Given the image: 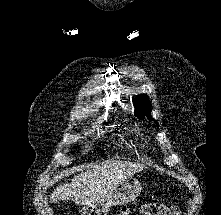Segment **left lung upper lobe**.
<instances>
[{"label":"left lung upper lobe","instance_id":"obj_1","mask_svg":"<svg viewBox=\"0 0 221 215\" xmlns=\"http://www.w3.org/2000/svg\"><path fill=\"white\" fill-rule=\"evenodd\" d=\"M134 105L136 108L135 115L139 118H144L147 116L149 120H154L150 115V101L146 95H139L135 101Z\"/></svg>","mask_w":221,"mask_h":215}]
</instances>
